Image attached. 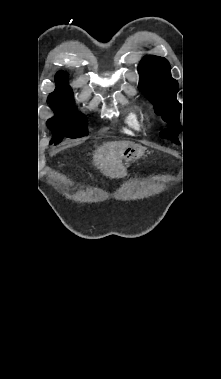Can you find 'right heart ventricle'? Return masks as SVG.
I'll use <instances>...</instances> for the list:
<instances>
[{"label": "right heart ventricle", "mask_w": 221, "mask_h": 379, "mask_svg": "<svg viewBox=\"0 0 221 379\" xmlns=\"http://www.w3.org/2000/svg\"><path fill=\"white\" fill-rule=\"evenodd\" d=\"M143 128V116L137 111H128L123 118L121 131L128 135H136L141 133Z\"/></svg>", "instance_id": "1"}]
</instances>
